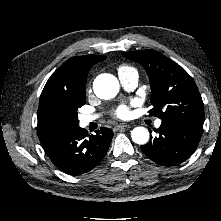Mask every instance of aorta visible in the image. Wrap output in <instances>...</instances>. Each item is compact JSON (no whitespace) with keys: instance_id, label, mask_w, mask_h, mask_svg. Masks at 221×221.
Wrapping results in <instances>:
<instances>
[{"instance_id":"762f6f07","label":"aorta","mask_w":221,"mask_h":221,"mask_svg":"<svg viewBox=\"0 0 221 221\" xmlns=\"http://www.w3.org/2000/svg\"><path fill=\"white\" fill-rule=\"evenodd\" d=\"M119 81L111 74H101L93 82V89L100 99H111L119 92ZM132 140L140 145L149 140V131L144 127H136L131 132Z\"/></svg>"}]
</instances>
